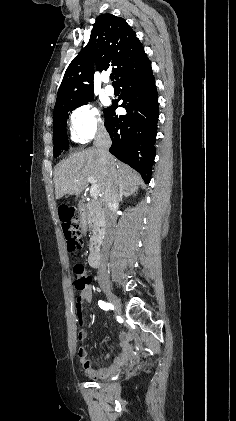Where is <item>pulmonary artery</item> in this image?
Returning a JSON list of instances; mask_svg holds the SVG:
<instances>
[{
    "instance_id": "pulmonary-artery-1",
    "label": "pulmonary artery",
    "mask_w": 236,
    "mask_h": 421,
    "mask_svg": "<svg viewBox=\"0 0 236 421\" xmlns=\"http://www.w3.org/2000/svg\"><path fill=\"white\" fill-rule=\"evenodd\" d=\"M104 92H105L107 95L112 96V95H114L115 90H114V88H113L111 85H106V86L104 87Z\"/></svg>"
}]
</instances>
